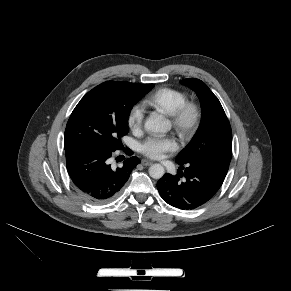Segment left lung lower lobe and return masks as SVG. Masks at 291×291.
I'll return each mask as SVG.
<instances>
[{"label": "left lung lower lobe", "instance_id": "obj_1", "mask_svg": "<svg viewBox=\"0 0 291 291\" xmlns=\"http://www.w3.org/2000/svg\"><path fill=\"white\" fill-rule=\"evenodd\" d=\"M184 173L165 174L157 183L162 199L169 205L195 209L209 201L221 187L228 167L207 161H194L180 165ZM184 177L180 179V177Z\"/></svg>", "mask_w": 291, "mask_h": 291}]
</instances>
